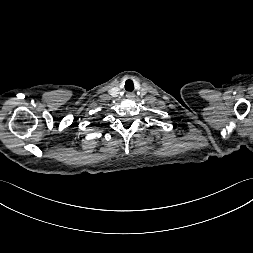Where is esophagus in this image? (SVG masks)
<instances>
[{"mask_svg":"<svg viewBox=\"0 0 253 253\" xmlns=\"http://www.w3.org/2000/svg\"><path fill=\"white\" fill-rule=\"evenodd\" d=\"M126 97L128 99H133L135 97V95L132 92H128L127 95H126Z\"/></svg>","mask_w":253,"mask_h":253,"instance_id":"1","label":"esophagus"}]
</instances>
